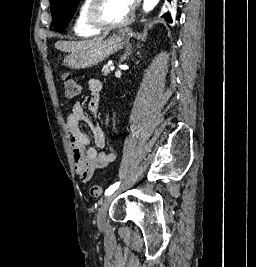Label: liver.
<instances>
[{"label":"liver","mask_w":256,"mask_h":267,"mask_svg":"<svg viewBox=\"0 0 256 267\" xmlns=\"http://www.w3.org/2000/svg\"><path fill=\"white\" fill-rule=\"evenodd\" d=\"M106 36H100V38H92V40H83V42H56L55 48L61 50V52H84L87 46H97L100 42H103Z\"/></svg>","instance_id":"6515ba94"}]
</instances>
